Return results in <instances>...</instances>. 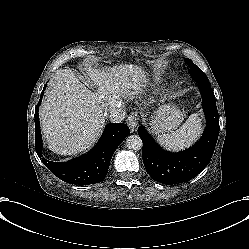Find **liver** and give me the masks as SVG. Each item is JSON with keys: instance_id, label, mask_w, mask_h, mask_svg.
I'll return each instance as SVG.
<instances>
[{"instance_id": "6515ba94", "label": "liver", "mask_w": 249, "mask_h": 249, "mask_svg": "<svg viewBox=\"0 0 249 249\" xmlns=\"http://www.w3.org/2000/svg\"><path fill=\"white\" fill-rule=\"evenodd\" d=\"M86 74L99 94L80 82L75 72H58L46 89L40 107L43 137L59 155H77L90 148L101 135L111 102L140 94L141 71L131 66L110 69L87 67ZM108 101V103H106Z\"/></svg>"}]
</instances>
